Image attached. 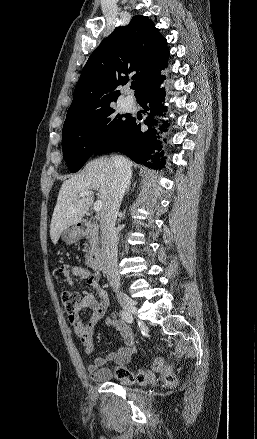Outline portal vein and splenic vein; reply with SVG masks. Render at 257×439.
<instances>
[{"mask_svg": "<svg viewBox=\"0 0 257 439\" xmlns=\"http://www.w3.org/2000/svg\"><path fill=\"white\" fill-rule=\"evenodd\" d=\"M92 194H93L92 191H84V192L80 193V197H85V196L92 195ZM102 206H103V201L102 200H98V201H96L94 203L93 210L95 212H99V211H101Z\"/></svg>", "mask_w": 257, "mask_h": 439, "instance_id": "portal-vein-and-splenic-vein-1", "label": "portal vein and splenic vein"}]
</instances>
